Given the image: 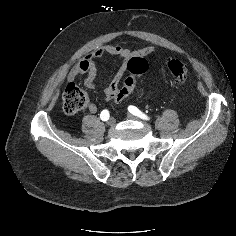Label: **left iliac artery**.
Instances as JSON below:
<instances>
[{"mask_svg": "<svg viewBox=\"0 0 236 236\" xmlns=\"http://www.w3.org/2000/svg\"><path fill=\"white\" fill-rule=\"evenodd\" d=\"M128 110H129L130 113H132L133 115H135V116H137V117H139V118H141V119L150 120V118H149L147 115H145L143 112H141V111H140L137 107H135V106L130 105V106L128 107Z\"/></svg>", "mask_w": 236, "mask_h": 236, "instance_id": "left-iliac-artery-1", "label": "left iliac artery"}]
</instances>
